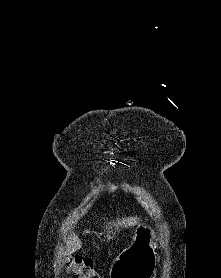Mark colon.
Masks as SVG:
<instances>
[{
    "instance_id": "1",
    "label": "colon",
    "mask_w": 221,
    "mask_h": 278,
    "mask_svg": "<svg viewBox=\"0 0 221 278\" xmlns=\"http://www.w3.org/2000/svg\"><path fill=\"white\" fill-rule=\"evenodd\" d=\"M65 267L76 278H102L101 274L94 268L90 258L81 256L67 258Z\"/></svg>"
}]
</instances>
